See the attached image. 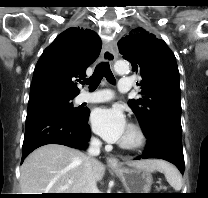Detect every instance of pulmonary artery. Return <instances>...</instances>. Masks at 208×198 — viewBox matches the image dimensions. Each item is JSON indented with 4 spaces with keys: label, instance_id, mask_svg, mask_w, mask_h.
<instances>
[{
    "label": "pulmonary artery",
    "instance_id": "1",
    "mask_svg": "<svg viewBox=\"0 0 208 198\" xmlns=\"http://www.w3.org/2000/svg\"><path fill=\"white\" fill-rule=\"evenodd\" d=\"M118 89L122 93H126L131 89V81L129 78L124 77L119 80ZM113 98L111 90L103 89L96 92H82L79 95V101L85 103H101L110 101Z\"/></svg>",
    "mask_w": 208,
    "mask_h": 198
}]
</instances>
